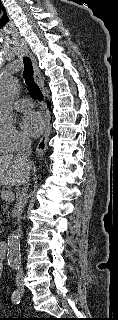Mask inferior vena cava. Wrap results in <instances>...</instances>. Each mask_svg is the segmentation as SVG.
I'll return each mask as SVG.
<instances>
[{"label":"inferior vena cava","mask_w":118,"mask_h":320,"mask_svg":"<svg viewBox=\"0 0 118 320\" xmlns=\"http://www.w3.org/2000/svg\"><path fill=\"white\" fill-rule=\"evenodd\" d=\"M32 153V149H31V142L29 140L26 139H22L21 140V144L19 147V151L16 155L18 161H20L22 164H24L26 166V175H25V180L23 181L22 185V190L19 194V196L16 199V203H15V207L13 210L14 215L17 217L18 219V230H17V235L19 237H21L22 235V230H21V226H20V219H21V215L23 213V209L26 205L27 202V191H28V184H29V179H30V155ZM24 277V273L23 270L21 268V266L18 267V271L16 274V282H20L23 280Z\"/></svg>","instance_id":"obj_1"}]
</instances>
